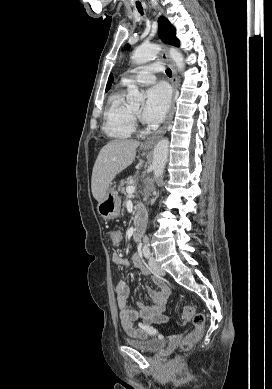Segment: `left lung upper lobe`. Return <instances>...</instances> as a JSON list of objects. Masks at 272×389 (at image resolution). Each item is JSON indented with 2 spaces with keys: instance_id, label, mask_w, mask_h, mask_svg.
Segmentation results:
<instances>
[{
  "instance_id": "obj_1",
  "label": "left lung upper lobe",
  "mask_w": 272,
  "mask_h": 389,
  "mask_svg": "<svg viewBox=\"0 0 272 389\" xmlns=\"http://www.w3.org/2000/svg\"><path fill=\"white\" fill-rule=\"evenodd\" d=\"M158 33L159 37L162 41L165 43L179 46V40L175 37L176 30L175 28L170 24L167 18L165 17H159L158 19ZM129 45L125 46V49H128Z\"/></svg>"
}]
</instances>
